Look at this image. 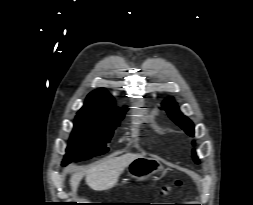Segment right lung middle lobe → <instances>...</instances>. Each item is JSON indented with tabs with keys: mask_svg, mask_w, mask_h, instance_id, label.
<instances>
[{
	"mask_svg": "<svg viewBox=\"0 0 253 205\" xmlns=\"http://www.w3.org/2000/svg\"><path fill=\"white\" fill-rule=\"evenodd\" d=\"M127 109H113V112L105 117L78 113L62 165L106 153V143L110 141L114 129L123 119Z\"/></svg>",
	"mask_w": 253,
	"mask_h": 205,
	"instance_id": "obj_1",
	"label": "right lung middle lobe"
}]
</instances>
